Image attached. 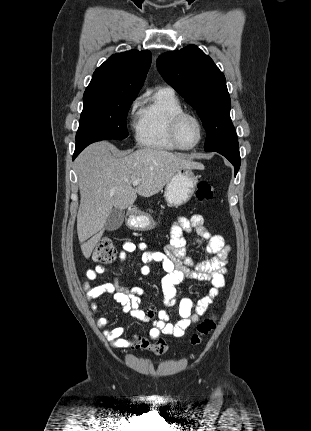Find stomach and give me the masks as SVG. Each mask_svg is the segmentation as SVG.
I'll list each match as a JSON object with an SVG mask.
<instances>
[{
  "instance_id": "stomach-1",
  "label": "stomach",
  "mask_w": 311,
  "mask_h": 431,
  "mask_svg": "<svg viewBox=\"0 0 311 431\" xmlns=\"http://www.w3.org/2000/svg\"><path fill=\"white\" fill-rule=\"evenodd\" d=\"M197 178L191 168H183L176 172L169 184H166L164 190V200L171 208L184 206L191 200L197 186ZM126 225L129 229L135 231H147L153 229L156 225L153 217L147 212H138V214H129L126 217Z\"/></svg>"
}]
</instances>
